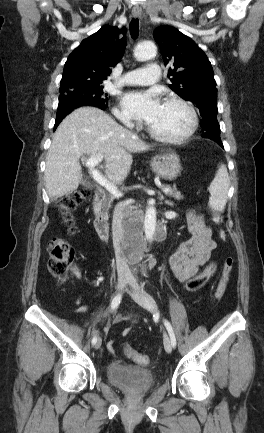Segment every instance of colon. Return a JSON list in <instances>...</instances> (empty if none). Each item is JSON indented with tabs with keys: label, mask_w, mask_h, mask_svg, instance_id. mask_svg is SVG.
<instances>
[{
	"label": "colon",
	"mask_w": 264,
	"mask_h": 433,
	"mask_svg": "<svg viewBox=\"0 0 264 433\" xmlns=\"http://www.w3.org/2000/svg\"><path fill=\"white\" fill-rule=\"evenodd\" d=\"M89 197L90 192L88 190L82 189L70 193L60 200L59 208L63 220L70 228L71 232H75L76 230L71 211L78 205L88 200ZM212 220L216 225L222 223L221 216L216 212L212 214ZM218 236L222 241L226 240V233L223 230L218 232ZM48 254V269L50 273L58 278L66 276L70 270V266L74 258V248L72 244L66 239L55 237L48 243ZM232 269L233 259L231 257H227L224 261L222 275L215 291V298L217 300L222 299L225 294ZM215 271L216 265L214 263L209 264L199 274L192 277L185 283V289L189 292L200 289L212 278ZM125 353L140 365H148L150 363L148 356L134 351L128 345L125 346Z\"/></svg>",
	"instance_id": "colon-1"
}]
</instances>
